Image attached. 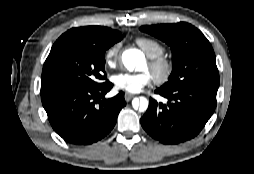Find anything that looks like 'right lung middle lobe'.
I'll return each instance as SVG.
<instances>
[{
    "label": "right lung middle lobe",
    "mask_w": 254,
    "mask_h": 174,
    "mask_svg": "<svg viewBox=\"0 0 254 174\" xmlns=\"http://www.w3.org/2000/svg\"><path fill=\"white\" fill-rule=\"evenodd\" d=\"M122 35L101 45L73 36H61L52 46L42 71L41 96L55 92L95 88L106 79L105 50Z\"/></svg>",
    "instance_id": "obj_1"
}]
</instances>
